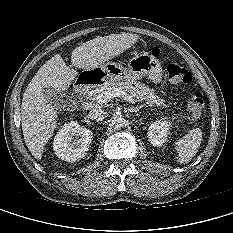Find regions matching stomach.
Masks as SVG:
<instances>
[{"label":"stomach","mask_w":233,"mask_h":233,"mask_svg":"<svg viewBox=\"0 0 233 233\" xmlns=\"http://www.w3.org/2000/svg\"><path fill=\"white\" fill-rule=\"evenodd\" d=\"M85 76L96 78L99 82L138 80L145 76L154 84L162 80V67L158 59L150 54L132 57L127 67L115 62H107L91 70L82 72Z\"/></svg>","instance_id":"obj_1"}]
</instances>
